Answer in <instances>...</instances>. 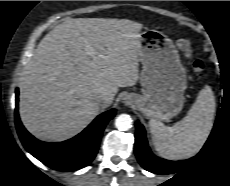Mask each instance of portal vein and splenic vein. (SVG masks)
<instances>
[{"label": "portal vein and splenic vein", "mask_w": 230, "mask_h": 186, "mask_svg": "<svg viewBox=\"0 0 230 186\" xmlns=\"http://www.w3.org/2000/svg\"><path fill=\"white\" fill-rule=\"evenodd\" d=\"M87 50L89 55L91 56L95 55L94 49L91 46L87 45Z\"/></svg>", "instance_id": "portal-vein-and-splenic-vein-1"}]
</instances>
